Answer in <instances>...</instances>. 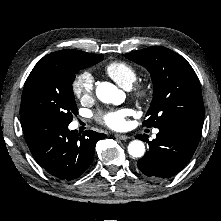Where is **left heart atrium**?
I'll return each mask as SVG.
<instances>
[{"instance_id":"left-heart-atrium-1","label":"left heart atrium","mask_w":221,"mask_h":221,"mask_svg":"<svg viewBox=\"0 0 221 221\" xmlns=\"http://www.w3.org/2000/svg\"><path fill=\"white\" fill-rule=\"evenodd\" d=\"M130 114L129 109L109 111L100 116V121L111 129L122 130L126 127V119Z\"/></svg>"}]
</instances>
